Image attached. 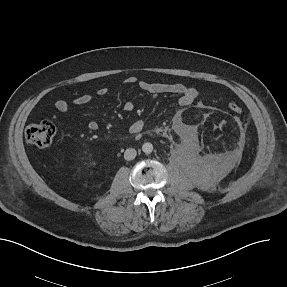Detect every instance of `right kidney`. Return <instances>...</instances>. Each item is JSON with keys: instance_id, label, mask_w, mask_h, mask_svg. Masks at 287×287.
<instances>
[{"instance_id": "ca27d5eb", "label": "right kidney", "mask_w": 287, "mask_h": 287, "mask_svg": "<svg viewBox=\"0 0 287 287\" xmlns=\"http://www.w3.org/2000/svg\"><path fill=\"white\" fill-rule=\"evenodd\" d=\"M84 153L87 154V151L85 150Z\"/></svg>"}]
</instances>
